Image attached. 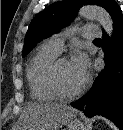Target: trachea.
Here are the masks:
<instances>
[{"instance_id": "1", "label": "trachea", "mask_w": 123, "mask_h": 130, "mask_svg": "<svg viewBox=\"0 0 123 130\" xmlns=\"http://www.w3.org/2000/svg\"><path fill=\"white\" fill-rule=\"evenodd\" d=\"M94 41H100V39H95Z\"/></svg>"}]
</instances>
